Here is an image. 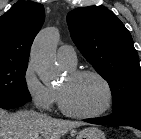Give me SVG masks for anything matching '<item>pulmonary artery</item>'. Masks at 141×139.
<instances>
[{
	"label": "pulmonary artery",
	"instance_id": "obj_1",
	"mask_svg": "<svg viewBox=\"0 0 141 139\" xmlns=\"http://www.w3.org/2000/svg\"><path fill=\"white\" fill-rule=\"evenodd\" d=\"M57 60L69 69L77 64V56L74 48L69 45H62L57 50Z\"/></svg>",
	"mask_w": 141,
	"mask_h": 139
}]
</instances>
